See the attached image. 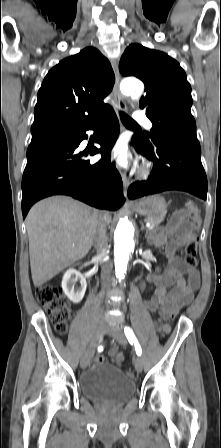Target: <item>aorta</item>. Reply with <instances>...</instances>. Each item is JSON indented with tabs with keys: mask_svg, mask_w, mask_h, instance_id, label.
<instances>
[{
	"mask_svg": "<svg viewBox=\"0 0 221 448\" xmlns=\"http://www.w3.org/2000/svg\"><path fill=\"white\" fill-rule=\"evenodd\" d=\"M121 92L138 100L143 91V84L137 79H126L120 85ZM134 227L128 219H121L114 233V255L116 277L121 281L127 264L134 252Z\"/></svg>",
	"mask_w": 221,
	"mask_h": 448,
	"instance_id": "obj_1",
	"label": "aorta"
}]
</instances>
